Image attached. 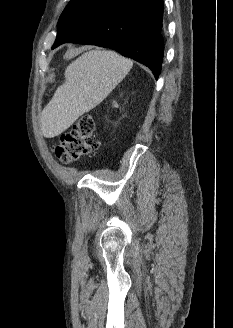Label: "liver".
Wrapping results in <instances>:
<instances>
[{
	"label": "liver",
	"mask_w": 233,
	"mask_h": 328,
	"mask_svg": "<svg viewBox=\"0 0 233 328\" xmlns=\"http://www.w3.org/2000/svg\"><path fill=\"white\" fill-rule=\"evenodd\" d=\"M133 62L114 51L89 50L65 70V82L57 88L41 113L45 138L67 130L80 116L99 105L124 79Z\"/></svg>",
	"instance_id": "6515ba94"
}]
</instances>
